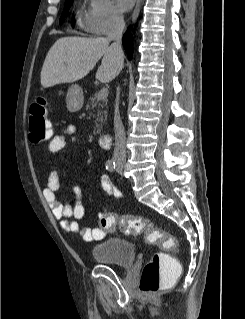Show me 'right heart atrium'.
<instances>
[{"label": "right heart atrium", "mask_w": 245, "mask_h": 319, "mask_svg": "<svg viewBox=\"0 0 245 319\" xmlns=\"http://www.w3.org/2000/svg\"><path fill=\"white\" fill-rule=\"evenodd\" d=\"M122 23V14L111 0H88L81 19L84 31L91 35H105Z\"/></svg>", "instance_id": "d8ad5b80"}]
</instances>
